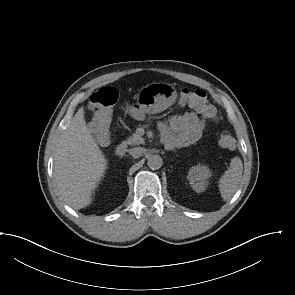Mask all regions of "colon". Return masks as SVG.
I'll return each instance as SVG.
<instances>
[{"instance_id": "colon-1", "label": "colon", "mask_w": 295, "mask_h": 295, "mask_svg": "<svg viewBox=\"0 0 295 295\" xmlns=\"http://www.w3.org/2000/svg\"><path fill=\"white\" fill-rule=\"evenodd\" d=\"M117 99L118 91L113 87L101 88L93 93L89 99V107L94 113L92 129L100 144H106L108 141L111 110ZM180 99L203 117L212 121L217 119V110L205 91L182 88L180 89ZM218 143L220 147L227 150H233L236 147L235 139L229 131H222L219 134Z\"/></svg>"}]
</instances>
